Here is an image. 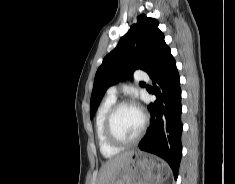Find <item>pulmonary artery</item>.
<instances>
[{
	"label": "pulmonary artery",
	"mask_w": 235,
	"mask_h": 184,
	"mask_svg": "<svg viewBox=\"0 0 235 184\" xmlns=\"http://www.w3.org/2000/svg\"><path fill=\"white\" fill-rule=\"evenodd\" d=\"M133 74H135V77L136 78H147V75L146 73H141L140 74V69H133ZM117 95V86H110L108 89H107V96L108 97H112V98H115Z\"/></svg>",
	"instance_id": "obj_1"
}]
</instances>
